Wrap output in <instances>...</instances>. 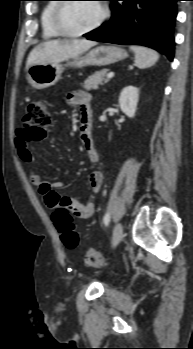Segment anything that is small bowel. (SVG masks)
<instances>
[{"label": "small bowel", "instance_id": "c3829d8e", "mask_svg": "<svg viewBox=\"0 0 193 349\" xmlns=\"http://www.w3.org/2000/svg\"><path fill=\"white\" fill-rule=\"evenodd\" d=\"M91 95L85 91L77 90L68 94L67 102L70 105L76 106L79 109L80 114V139L82 146L88 156L89 161L92 164H99V155L95 148L94 140L92 137V116L90 108ZM37 139L30 138L23 128L16 131L15 145L20 159L29 167L30 178L33 184H35L41 195L43 196L46 204L55 209L60 204L68 205L73 217L80 219H89L94 213V196L99 192L102 185V173L100 170L92 171L88 176L91 195L89 199L82 203L70 197H61L57 190L61 189L63 183L54 182L51 183L42 179L40 174L36 170V164L34 156L29 148L31 141Z\"/></svg>", "mask_w": 193, "mask_h": 349}]
</instances>
